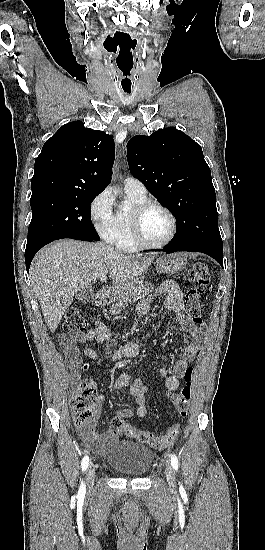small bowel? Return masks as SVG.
I'll list each match as a JSON object with an SVG mask.
<instances>
[{"mask_svg": "<svg viewBox=\"0 0 265 550\" xmlns=\"http://www.w3.org/2000/svg\"><path fill=\"white\" fill-rule=\"evenodd\" d=\"M155 295L163 297V301L158 305V308L171 311L184 330L182 342L185 345V349L182 356L174 362L171 369L165 367L159 369L160 375L165 378L166 391L168 393H173L178 389L180 379L183 378L186 369L189 367V363L196 359L200 350L203 348L204 338L199 332L198 325L191 322L183 314V294L175 282L170 280L166 281L156 291ZM150 309L151 299L142 300L137 305V312L140 315H147ZM92 340H96L100 343H107L109 345L115 343L110 330L102 323H98L94 328L84 333L63 335L60 337V343L65 347V356L72 369H75L81 363L79 345L83 346V354L85 356L92 360L100 359L99 353L88 345ZM140 352L141 348L138 344L127 343L114 351L111 354V359L113 361H120L128 358H136L140 355ZM114 388H127L130 394L136 399L138 406L136 414L140 418L146 417L147 409L145 401L148 387L142 379L133 378L130 373L122 372L117 376L114 382ZM133 414L134 412L130 408H122L117 411V415L122 418H130ZM95 423L96 421L87 427L80 428L79 433L82 441L88 448L99 452L113 442L114 435L111 432L97 433L95 430Z\"/></svg>", "mask_w": 265, "mask_h": 550, "instance_id": "small-bowel-1", "label": "small bowel"}]
</instances>
